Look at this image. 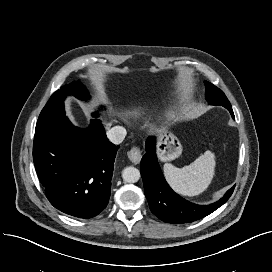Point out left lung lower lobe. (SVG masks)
I'll use <instances>...</instances> for the list:
<instances>
[{
  "mask_svg": "<svg viewBox=\"0 0 272 272\" xmlns=\"http://www.w3.org/2000/svg\"><path fill=\"white\" fill-rule=\"evenodd\" d=\"M228 110L234 118L232 108ZM145 147L147 153L142 157L140 165L144 192L150 210L160 220L172 224L196 221L214 212L232 195L235 186L219 201L210 205H197L183 199L169 187L161 172L155 152V137H149Z\"/></svg>",
  "mask_w": 272,
  "mask_h": 272,
  "instance_id": "1",
  "label": "left lung lower lobe"
}]
</instances>
